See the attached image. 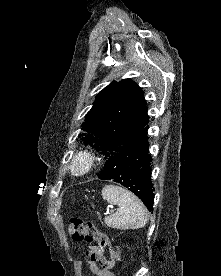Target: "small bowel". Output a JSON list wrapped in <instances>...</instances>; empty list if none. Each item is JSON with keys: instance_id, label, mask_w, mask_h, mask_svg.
Returning <instances> with one entry per match:
<instances>
[{"instance_id": "obj_1", "label": "small bowel", "mask_w": 221, "mask_h": 276, "mask_svg": "<svg viewBox=\"0 0 221 276\" xmlns=\"http://www.w3.org/2000/svg\"><path fill=\"white\" fill-rule=\"evenodd\" d=\"M88 263L90 270L96 276H114L110 268L107 267L108 259L105 251L98 246H90L87 251Z\"/></svg>"}]
</instances>
